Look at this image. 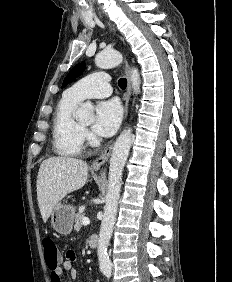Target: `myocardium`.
Wrapping results in <instances>:
<instances>
[{
    "instance_id": "f54148a6",
    "label": "myocardium",
    "mask_w": 232,
    "mask_h": 282,
    "mask_svg": "<svg viewBox=\"0 0 232 282\" xmlns=\"http://www.w3.org/2000/svg\"><path fill=\"white\" fill-rule=\"evenodd\" d=\"M79 127L85 132L86 131V127L80 123H78Z\"/></svg>"
}]
</instances>
